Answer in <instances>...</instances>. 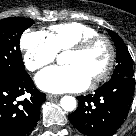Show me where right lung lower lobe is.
<instances>
[{"instance_id":"obj_1","label":"right lung lower lobe","mask_w":136,"mask_h":136,"mask_svg":"<svg viewBox=\"0 0 136 136\" xmlns=\"http://www.w3.org/2000/svg\"><path fill=\"white\" fill-rule=\"evenodd\" d=\"M30 99L18 101L24 93ZM46 95L35 89L28 74L7 82H0V136H25L36 126L39 109Z\"/></svg>"}]
</instances>
